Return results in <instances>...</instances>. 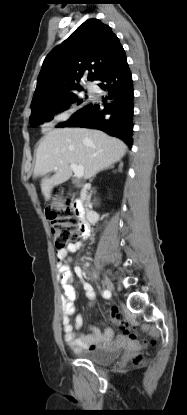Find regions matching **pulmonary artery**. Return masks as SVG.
Wrapping results in <instances>:
<instances>
[{
  "label": "pulmonary artery",
  "mask_w": 187,
  "mask_h": 415,
  "mask_svg": "<svg viewBox=\"0 0 187 415\" xmlns=\"http://www.w3.org/2000/svg\"><path fill=\"white\" fill-rule=\"evenodd\" d=\"M89 90H90V91H93V87H92V86H89Z\"/></svg>",
  "instance_id": "e3ab8cb5"
}]
</instances>
